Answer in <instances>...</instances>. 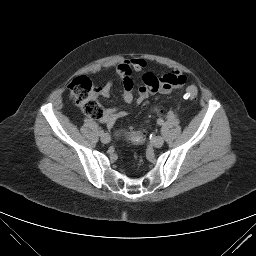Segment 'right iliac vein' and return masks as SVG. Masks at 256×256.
I'll return each instance as SVG.
<instances>
[{
  "mask_svg": "<svg viewBox=\"0 0 256 256\" xmlns=\"http://www.w3.org/2000/svg\"><path fill=\"white\" fill-rule=\"evenodd\" d=\"M111 140L110 135L105 133L101 136V141L105 144L109 143Z\"/></svg>",
  "mask_w": 256,
  "mask_h": 256,
  "instance_id": "right-iliac-vein-1",
  "label": "right iliac vein"
}]
</instances>
